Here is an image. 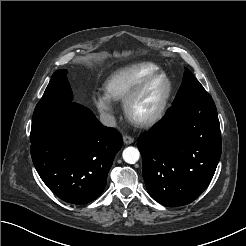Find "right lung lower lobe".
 <instances>
[{"instance_id": "1", "label": "right lung lower lobe", "mask_w": 246, "mask_h": 246, "mask_svg": "<svg viewBox=\"0 0 246 246\" xmlns=\"http://www.w3.org/2000/svg\"><path fill=\"white\" fill-rule=\"evenodd\" d=\"M31 157L47 187L61 200L86 204L103 192L122 138L94 114L70 102L60 110L33 116Z\"/></svg>"}]
</instances>
